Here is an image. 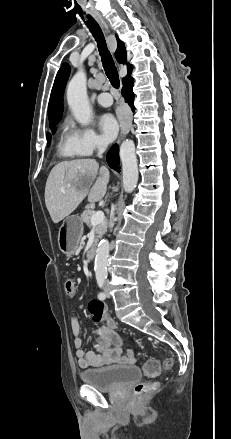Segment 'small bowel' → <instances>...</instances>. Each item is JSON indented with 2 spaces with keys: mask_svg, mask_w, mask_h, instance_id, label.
<instances>
[{
  "mask_svg": "<svg viewBox=\"0 0 231 439\" xmlns=\"http://www.w3.org/2000/svg\"><path fill=\"white\" fill-rule=\"evenodd\" d=\"M102 321H106V324L96 330L97 341L95 348L85 352L82 349L80 322L77 316H71V332L79 367L86 369L112 364H134V354L130 349H123L122 339L115 330L114 322L108 316Z\"/></svg>",
  "mask_w": 231,
  "mask_h": 439,
  "instance_id": "small-bowel-1",
  "label": "small bowel"
}]
</instances>
